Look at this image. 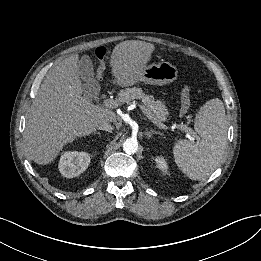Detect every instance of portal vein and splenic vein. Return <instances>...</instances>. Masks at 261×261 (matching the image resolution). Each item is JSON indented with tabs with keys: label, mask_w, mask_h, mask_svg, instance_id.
<instances>
[{
	"label": "portal vein and splenic vein",
	"mask_w": 261,
	"mask_h": 261,
	"mask_svg": "<svg viewBox=\"0 0 261 261\" xmlns=\"http://www.w3.org/2000/svg\"><path fill=\"white\" fill-rule=\"evenodd\" d=\"M103 104L108 107V108H117L120 106V103L118 102V100H114V99H105L103 101ZM138 107L140 108V110L142 111V113L144 114L145 117H147L149 120H151L154 124H156L159 128L162 129H168V127L166 125H164L163 123H157L154 120V117L152 116V114L148 111V109L142 105V104H138ZM171 131H174L176 128H179L180 130H183L185 132H187L190 136L195 137V133L192 131V129L183 126V125H173L170 127ZM192 137V139H194Z\"/></svg>",
	"instance_id": "1"
}]
</instances>
